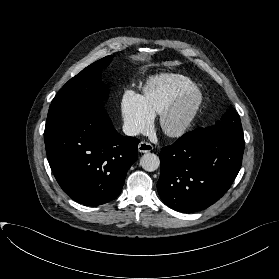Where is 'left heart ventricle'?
<instances>
[{"label": "left heart ventricle", "instance_id": "1", "mask_svg": "<svg viewBox=\"0 0 279 279\" xmlns=\"http://www.w3.org/2000/svg\"><path fill=\"white\" fill-rule=\"evenodd\" d=\"M188 111V107H185L184 109H182L177 115L176 117L171 121L172 125H176L177 123H179L187 114Z\"/></svg>", "mask_w": 279, "mask_h": 279}]
</instances>
